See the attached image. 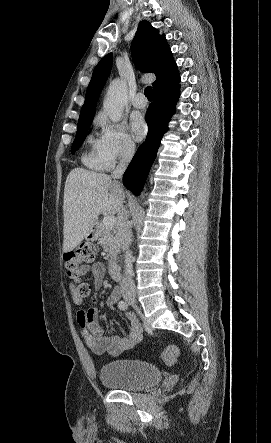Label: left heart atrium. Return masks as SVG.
I'll return each instance as SVG.
<instances>
[{
	"label": "left heart atrium",
	"mask_w": 271,
	"mask_h": 443,
	"mask_svg": "<svg viewBox=\"0 0 271 443\" xmlns=\"http://www.w3.org/2000/svg\"><path fill=\"white\" fill-rule=\"evenodd\" d=\"M130 126L135 140L141 141L147 134V124L144 117L138 113H132L130 116Z\"/></svg>",
	"instance_id": "39dd6f15"
}]
</instances>
